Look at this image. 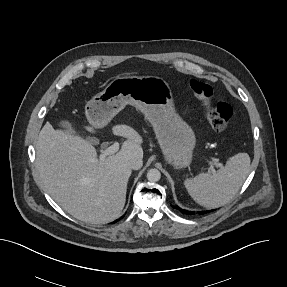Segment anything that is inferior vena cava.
Segmentation results:
<instances>
[{"label":"inferior vena cava","mask_w":287,"mask_h":287,"mask_svg":"<svg viewBox=\"0 0 287 287\" xmlns=\"http://www.w3.org/2000/svg\"><path fill=\"white\" fill-rule=\"evenodd\" d=\"M143 165L142 159L139 158H131L128 161V166L129 168L133 169V170H139Z\"/></svg>","instance_id":"602c4592"}]
</instances>
